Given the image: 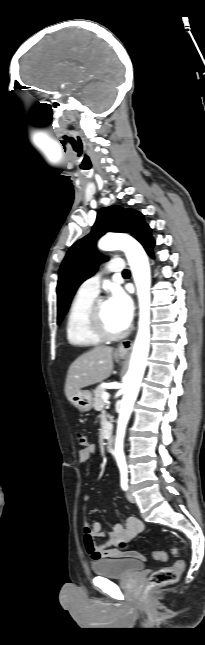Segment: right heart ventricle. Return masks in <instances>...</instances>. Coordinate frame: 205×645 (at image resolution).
<instances>
[{"mask_svg": "<svg viewBox=\"0 0 205 645\" xmlns=\"http://www.w3.org/2000/svg\"><path fill=\"white\" fill-rule=\"evenodd\" d=\"M96 296L78 291L73 297L66 318V337L74 346L92 347L103 340L97 337L88 324V313Z\"/></svg>", "mask_w": 205, "mask_h": 645, "instance_id": "obj_1", "label": "right heart ventricle"}]
</instances>
